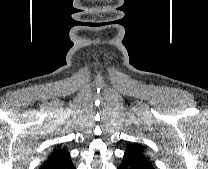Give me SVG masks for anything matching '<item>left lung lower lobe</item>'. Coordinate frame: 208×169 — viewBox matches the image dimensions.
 Listing matches in <instances>:
<instances>
[{"mask_svg": "<svg viewBox=\"0 0 208 169\" xmlns=\"http://www.w3.org/2000/svg\"><path fill=\"white\" fill-rule=\"evenodd\" d=\"M118 169H154V165L144 154L126 149Z\"/></svg>", "mask_w": 208, "mask_h": 169, "instance_id": "obj_1", "label": "left lung lower lobe"}]
</instances>
